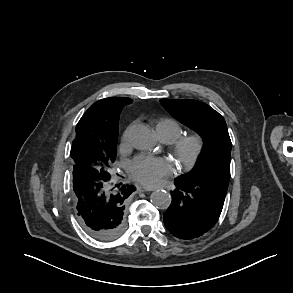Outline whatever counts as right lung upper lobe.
<instances>
[{
  "label": "right lung upper lobe",
  "instance_id": "right-lung-upper-lobe-1",
  "mask_svg": "<svg viewBox=\"0 0 293 293\" xmlns=\"http://www.w3.org/2000/svg\"><path fill=\"white\" fill-rule=\"evenodd\" d=\"M131 102L132 100L126 97L105 98L94 103L85 112L76 126V134L77 139L86 138L89 141V146L84 150L77 148L71 150L75 165L82 167L97 166L91 158L90 147L116 141L119 115L123 107Z\"/></svg>",
  "mask_w": 293,
  "mask_h": 293
}]
</instances>
